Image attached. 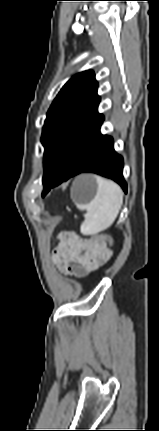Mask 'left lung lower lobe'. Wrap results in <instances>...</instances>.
Segmentation results:
<instances>
[{
	"label": "left lung lower lobe",
	"instance_id": "left-lung-lower-lobe-1",
	"mask_svg": "<svg viewBox=\"0 0 159 431\" xmlns=\"http://www.w3.org/2000/svg\"><path fill=\"white\" fill-rule=\"evenodd\" d=\"M103 120L102 116L77 135L63 159L59 172L43 191V196L52 187L83 172L111 178L123 188L125 193L127 192V185L123 178V158L115 152L112 137L100 133Z\"/></svg>",
	"mask_w": 159,
	"mask_h": 431
}]
</instances>
